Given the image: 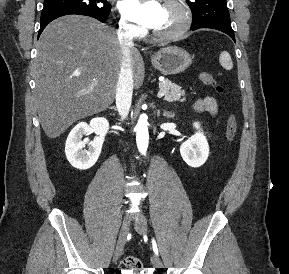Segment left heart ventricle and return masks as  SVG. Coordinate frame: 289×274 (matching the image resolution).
I'll return each instance as SVG.
<instances>
[{
  "instance_id": "obj_1",
  "label": "left heart ventricle",
  "mask_w": 289,
  "mask_h": 274,
  "mask_svg": "<svg viewBox=\"0 0 289 274\" xmlns=\"http://www.w3.org/2000/svg\"><path fill=\"white\" fill-rule=\"evenodd\" d=\"M181 21L180 9L175 5H162L161 13L156 25L153 27L157 31H170L176 28Z\"/></svg>"
}]
</instances>
